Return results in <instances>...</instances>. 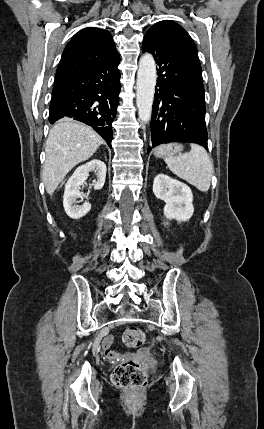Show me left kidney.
<instances>
[{
    "label": "left kidney",
    "mask_w": 264,
    "mask_h": 429,
    "mask_svg": "<svg viewBox=\"0 0 264 429\" xmlns=\"http://www.w3.org/2000/svg\"><path fill=\"white\" fill-rule=\"evenodd\" d=\"M153 193L156 198L165 202L164 216L167 219L185 222L192 217L193 194L186 184L165 174H158L154 178Z\"/></svg>",
    "instance_id": "left-kidney-1"
}]
</instances>
